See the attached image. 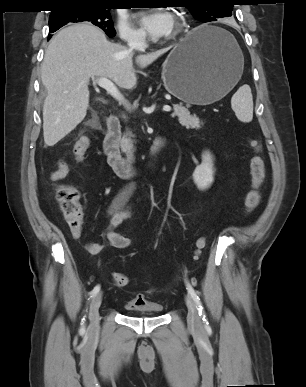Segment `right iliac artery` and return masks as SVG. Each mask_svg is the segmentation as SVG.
<instances>
[{
    "label": "right iliac artery",
    "instance_id": "1",
    "mask_svg": "<svg viewBox=\"0 0 306 387\" xmlns=\"http://www.w3.org/2000/svg\"><path fill=\"white\" fill-rule=\"evenodd\" d=\"M99 290H100V286L99 285L95 286L94 289L90 293V298L91 299L94 298L97 295V293L99 292ZM84 320L85 319H83V321H82V329H84Z\"/></svg>",
    "mask_w": 306,
    "mask_h": 387
}]
</instances>
